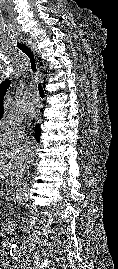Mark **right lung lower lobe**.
<instances>
[{
    "instance_id": "98d812e1",
    "label": "right lung lower lobe",
    "mask_w": 118,
    "mask_h": 269,
    "mask_svg": "<svg viewBox=\"0 0 118 269\" xmlns=\"http://www.w3.org/2000/svg\"><path fill=\"white\" fill-rule=\"evenodd\" d=\"M40 134H41V131H40L39 126H36L35 127V137H36L38 142H39Z\"/></svg>"
}]
</instances>
